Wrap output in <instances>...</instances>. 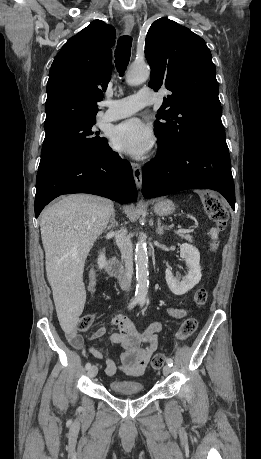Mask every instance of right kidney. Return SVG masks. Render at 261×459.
<instances>
[{"mask_svg": "<svg viewBox=\"0 0 261 459\" xmlns=\"http://www.w3.org/2000/svg\"><path fill=\"white\" fill-rule=\"evenodd\" d=\"M105 262H106V258L104 255H101L98 257L97 263H98L99 269H102L105 266Z\"/></svg>", "mask_w": 261, "mask_h": 459, "instance_id": "obj_1", "label": "right kidney"}]
</instances>
